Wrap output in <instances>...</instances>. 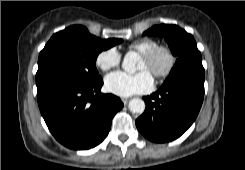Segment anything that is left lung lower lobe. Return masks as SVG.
<instances>
[{
  "label": "left lung lower lobe",
  "mask_w": 245,
  "mask_h": 170,
  "mask_svg": "<svg viewBox=\"0 0 245 170\" xmlns=\"http://www.w3.org/2000/svg\"><path fill=\"white\" fill-rule=\"evenodd\" d=\"M204 98V80L181 78L143 97L144 113L138 130L150 141L165 143L180 137L195 121Z\"/></svg>",
  "instance_id": "0a47b994"
}]
</instances>
